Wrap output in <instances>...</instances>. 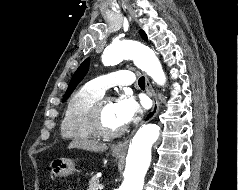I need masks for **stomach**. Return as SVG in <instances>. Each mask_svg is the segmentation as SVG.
<instances>
[{
    "mask_svg": "<svg viewBox=\"0 0 238 190\" xmlns=\"http://www.w3.org/2000/svg\"><path fill=\"white\" fill-rule=\"evenodd\" d=\"M112 155L120 158L122 153L112 151ZM51 173L55 177H67L74 173L75 164L72 160L66 158H57L50 163Z\"/></svg>",
    "mask_w": 238,
    "mask_h": 190,
    "instance_id": "1",
    "label": "stomach"
}]
</instances>
